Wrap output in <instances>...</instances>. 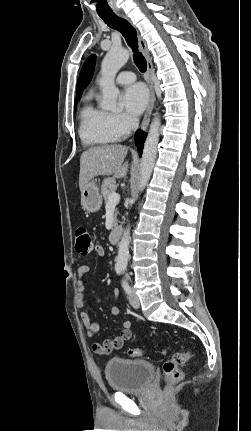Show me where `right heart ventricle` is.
Instances as JSON below:
<instances>
[{
    "label": "right heart ventricle",
    "mask_w": 251,
    "mask_h": 431,
    "mask_svg": "<svg viewBox=\"0 0 251 431\" xmlns=\"http://www.w3.org/2000/svg\"><path fill=\"white\" fill-rule=\"evenodd\" d=\"M79 135L88 145H106L118 138L109 126V113L97 107L88 97L80 110Z\"/></svg>",
    "instance_id": "1"
}]
</instances>
